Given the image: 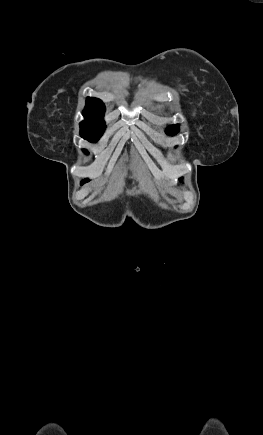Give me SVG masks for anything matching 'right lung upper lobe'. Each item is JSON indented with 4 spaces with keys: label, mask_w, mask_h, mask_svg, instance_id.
<instances>
[{
    "label": "right lung upper lobe",
    "mask_w": 263,
    "mask_h": 435,
    "mask_svg": "<svg viewBox=\"0 0 263 435\" xmlns=\"http://www.w3.org/2000/svg\"><path fill=\"white\" fill-rule=\"evenodd\" d=\"M105 105L98 98L87 97L86 106L83 111L85 121L80 123V126H95L105 128L103 121Z\"/></svg>",
    "instance_id": "right-lung-upper-lobe-1"
}]
</instances>
